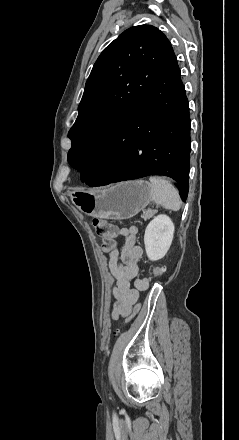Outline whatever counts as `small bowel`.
<instances>
[{
  "mask_svg": "<svg viewBox=\"0 0 239 440\" xmlns=\"http://www.w3.org/2000/svg\"><path fill=\"white\" fill-rule=\"evenodd\" d=\"M116 236L124 240V245L120 249L119 242L115 241L109 250L108 266L115 279L113 287L115 303L112 311L114 320L131 313L132 306L137 302L139 291L146 290L149 284L147 278L139 276V262L143 250L137 244V227L121 228L116 231Z\"/></svg>",
  "mask_w": 239,
  "mask_h": 440,
  "instance_id": "c3829d8e",
  "label": "small bowel"
}]
</instances>
